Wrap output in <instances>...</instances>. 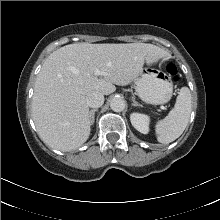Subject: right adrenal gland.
Wrapping results in <instances>:
<instances>
[{
	"instance_id": "right-adrenal-gland-1",
	"label": "right adrenal gland",
	"mask_w": 220,
	"mask_h": 220,
	"mask_svg": "<svg viewBox=\"0 0 220 220\" xmlns=\"http://www.w3.org/2000/svg\"><path fill=\"white\" fill-rule=\"evenodd\" d=\"M96 111H98L97 108L92 109V110H90V112H89V118H90L91 124H93L94 121H95V112H96Z\"/></svg>"
}]
</instances>
